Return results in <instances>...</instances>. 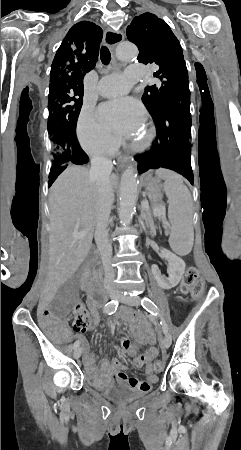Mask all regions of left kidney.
Masks as SVG:
<instances>
[{
	"label": "left kidney",
	"instance_id": "5707ae66",
	"mask_svg": "<svg viewBox=\"0 0 241 450\" xmlns=\"http://www.w3.org/2000/svg\"><path fill=\"white\" fill-rule=\"evenodd\" d=\"M161 256L168 262L169 278L161 276L158 266H152V274L160 288H163V290H171V288H175L179 284L185 272L186 264L184 260L175 256L172 252H168V250H161Z\"/></svg>",
	"mask_w": 241,
	"mask_h": 450
}]
</instances>
